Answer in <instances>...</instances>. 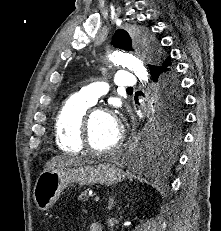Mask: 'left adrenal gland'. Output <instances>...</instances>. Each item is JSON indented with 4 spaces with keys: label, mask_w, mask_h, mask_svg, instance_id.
Segmentation results:
<instances>
[{
    "label": "left adrenal gland",
    "mask_w": 221,
    "mask_h": 231,
    "mask_svg": "<svg viewBox=\"0 0 221 231\" xmlns=\"http://www.w3.org/2000/svg\"><path fill=\"white\" fill-rule=\"evenodd\" d=\"M108 203H109V207L108 208L112 209L114 207V199L110 198L109 201H108Z\"/></svg>",
    "instance_id": "a2214340"
}]
</instances>
